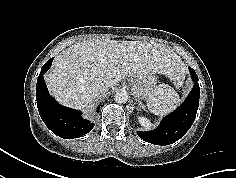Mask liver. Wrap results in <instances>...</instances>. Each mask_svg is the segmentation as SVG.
Returning <instances> with one entry per match:
<instances>
[{
  "mask_svg": "<svg viewBox=\"0 0 236 178\" xmlns=\"http://www.w3.org/2000/svg\"><path fill=\"white\" fill-rule=\"evenodd\" d=\"M182 72L180 57L162 44L94 39L63 50L55 57L45 80L49 92L61 104L88 109L97 96L98 82L113 87L125 76L160 73L176 79Z\"/></svg>",
  "mask_w": 236,
  "mask_h": 178,
  "instance_id": "1",
  "label": "liver"
}]
</instances>
